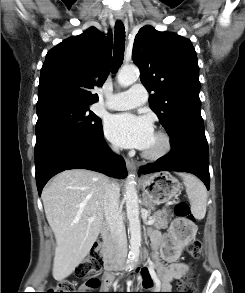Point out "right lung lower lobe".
<instances>
[{"mask_svg": "<svg viewBox=\"0 0 245 293\" xmlns=\"http://www.w3.org/2000/svg\"><path fill=\"white\" fill-rule=\"evenodd\" d=\"M39 195L48 180L69 169H88L116 178H125L127 169L121 156L107 146L102 129L90 136L68 137L54 141L35 155Z\"/></svg>", "mask_w": 245, "mask_h": 293, "instance_id": "1", "label": "right lung lower lobe"}]
</instances>
